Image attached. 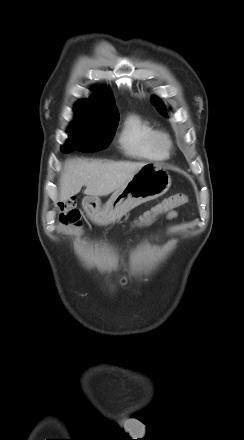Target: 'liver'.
Wrapping results in <instances>:
<instances>
[{"label":"liver","instance_id":"obj_1","mask_svg":"<svg viewBox=\"0 0 244 440\" xmlns=\"http://www.w3.org/2000/svg\"><path fill=\"white\" fill-rule=\"evenodd\" d=\"M144 162H102L76 158L66 161L60 179V200L78 194L82 186L88 196H107L127 183Z\"/></svg>","mask_w":244,"mask_h":440}]
</instances>
